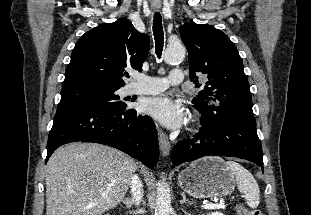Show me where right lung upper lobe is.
Instances as JSON below:
<instances>
[{"mask_svg":"<svg viewBox=\"0 0 311 215\" xmlns=\"http://www.w3.org/2000/svg\"><path fill=\"white\" fill-rule=\"evenodd\" d=\"M149 46V37L127 18L100 24L77 41L62 86L94 83L120 88L126 68L142 71Z\"/></svg>","mask_w":311,"mask_h":215,"instance_id":"cb5924a9","label":"right lung upper lobe"}]
</instances>
